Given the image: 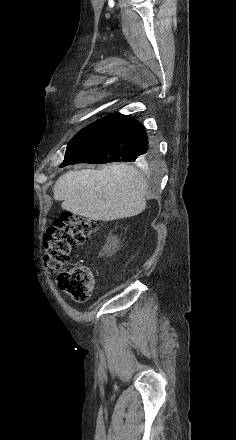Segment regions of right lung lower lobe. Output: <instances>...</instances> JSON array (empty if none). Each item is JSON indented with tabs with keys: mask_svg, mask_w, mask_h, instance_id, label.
<instances>
[{
	"mask_svg": "<svg viewBox=\"0 0 236 440\" xmlns=\"http://www.w3.org/2000/svg\"><path fill=\"white\" fill-rule=\"evenodd\" d=\"M150 153L148 136L139 121L109 114L69 142L61 166L75 163L140 162Z\"/></svg>",
	"mask_w": 236,
	"mask_h": 440,
	"instance_id": "98d812e1",
	"label": "right lung lower lobe"
}]
</instances>
